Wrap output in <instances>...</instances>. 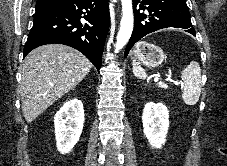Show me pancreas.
Segmentation results:
<instances>
[{
  "mask_svg": "<svg viewBox=\"0 0 227 166\" xmlns=\"http://www.w3.org/2000/svg\"><path fill=\"white\" fill-rule=\"evenodd\" d=\"M158 87H159V88H163V89H167V87L164 86L163 84H158Z\"/></svg>",
  "mask_w": 227,
  "mask_h": 166,
  "instance_id": "1",
  "label": "pancreas"
}]
</instances>
